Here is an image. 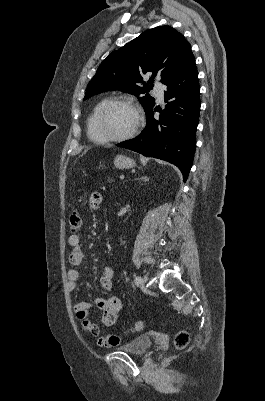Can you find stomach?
Instances as JSON below:
<instances>
[{"mask_svg": "<svg viewBox=\"0 0 265 401\" xmlns=\"http://www.w3.org/2000/svg\"><path fill=\"white\" fill-rule=\"evenodd\" d=\"M114 164L116 168H134L136 166L134 158L124 156V154H117L114 158Z\"/></svg>", "mask_w": 265, "mask_h": 401, "instance_id": "0dacf381", "label": "stomach"}]
</instances>
